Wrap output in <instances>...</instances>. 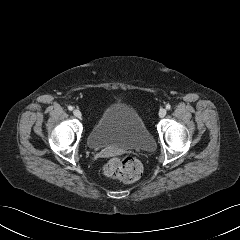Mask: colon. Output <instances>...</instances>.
I'll return each instance as SVG.
<instances>
[{"instance_id": "1", "label": "colon", "mask_w": 240, "mask_h": 240, "mask_svg": "<svg viewBox=\"0 0 240 240\" xmlns=\"http://www.w3.org/2000/svg\"><path fill=\"white\" fill-rule=\"evenodd\" d=\"M103 173L111 180L131 183L140 178L142 166L133 157H115L107 161L103 167Z\"/></svg>"}]
</instances>
